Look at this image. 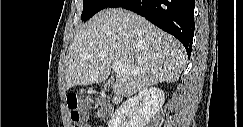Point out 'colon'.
<instances>
[{
    "label": "colon",
    "instance_id": "1",
    "mask_svg": "<svg viewBox=\"0 0 243 127\" xmlns=\"http://www.w3.org/2000/svg\"><path fill=\"white\" fill-rule=\"evenodd\" d=\"M67 106L70 112V119L73 127H83L84 125V113L86 110V103L83 102L81 96L78 93H70L67 96ZM100 113L104 111L101 109Z\"/></svg>",
    "mask_w": 243,
    "mask_h": 127
}]
</instances>
